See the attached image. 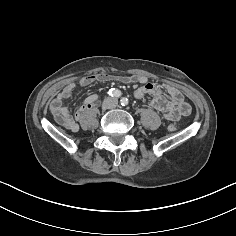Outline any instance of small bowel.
Returning a JSON list of instances; mask_svg holds the SVG:
<instances>
[{
	"label": "small bowel",
	"instance_id": "small-bowel-1",
	"mask_svg": "<svg viewBox=\"0 0 236 236\" xmlns=\"http://www.w3.org/2000/svg\"><path fill=\"white\" fill-rule=\"evenodd\" d=\"M117 80L123 83H139L140 86L135 89L134 97L137 100H144L148 95L151 96L150 105L161 112L165 119L175 121L182 116H187L191 112V107L187 103L181 92L173 86L163 85L157 86L148 82L143 75L132 76H114L107 73H100L96 76H86L79 81L80 86H88L95 81H112ZM76 89L75 83L67 84L63 90L56 95L50 105V113L54 122L71 131L78 128V121L81 119L83 112L99 102L100 98L97 94L88 96L83 105L77 110L73 116L69 109L63 105V102L70 98ZM162 91L167 94L163 96Z\"/></svg>",
	"mask_w": 236,
	"mask_h": 236
}]
</instances>
